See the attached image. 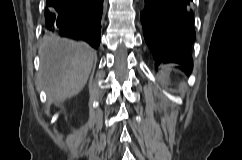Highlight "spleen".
I'll return each instance as SVG.
<instances>
[{
	"mask_svg": "<svg viewBox=\"0 0 242 160\" xmlns=\"http://www.w3.org/2000/svg\"><path fill=\"white\" fill-rule=\"evenodd\" d=\"M165 71H170V68L169 67H165Z\"/></svg>",
	"mask_w": 242,
	"mask_h": 160,
	"instance_id": "obj_1",
	"label": "spleen"
}]
</instances>
